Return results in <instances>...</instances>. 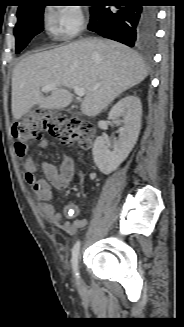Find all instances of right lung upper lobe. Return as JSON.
I'll use <instances>...</instances> for the list:
<instances>
[{"instance_id":"right-lung-upper-lobe-1","label":"right lung upper lobe","mask_w":184,"mask_h":327,"mask_svg":"<svg viewBox=\"0 0 184 327\" xmlns=\"http://www.w3.org/2000/svg\"><path fill=\"white\" fill-rule=\"evenodd\" d=\"M20 3L21 5L19 6L18 11L34 6L40 3V0H20Z\"/></svg>"}]
</instances>
